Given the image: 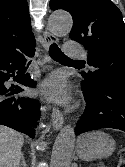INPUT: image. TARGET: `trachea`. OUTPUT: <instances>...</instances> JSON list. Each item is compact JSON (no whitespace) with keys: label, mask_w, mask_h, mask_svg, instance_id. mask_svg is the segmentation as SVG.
<instances>
[{"label":"trachea","mask_w":125,"mask_h":167,"mask_svg":"<svg viewBox=\"0 0 125 167\" xmlns=\"http://www.w3.org/2000/svg\"><path fill=\"white\" fill-rule=\"evenodd\" d=\"M49 54H50L51 58H53L56 61L80 63V61H78V60H72V59L68 58L55 43H53L50 46Z\"/></svg>","instance_id":"3493384b"}]
</instances>
